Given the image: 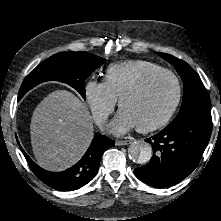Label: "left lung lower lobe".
<instances>
[{"instance_id":"0a47b994","label":"left lung lower lobe","mask_w":221,"mask_h":221,"mask_svg":"<svg viewBox=\"0 0 221 221\" xmlns=\"http://www.w3.org/2000/svg\"><path fill=\"white\" fill-rule=\"evenodd\" d=\"M211 131V118L194 116L147 138L153 156L147 165L134 170L135 176L153 187L180 182L197 167Z\"/></svg>"}]
</instances>
